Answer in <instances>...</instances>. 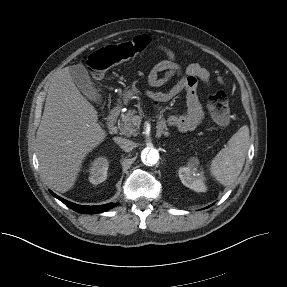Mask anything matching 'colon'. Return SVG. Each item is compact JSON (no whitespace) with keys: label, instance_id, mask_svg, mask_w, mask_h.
<instances>
[{"label":"colon","instance_id":"1","mask_svg":"<svg viewBox=\"0 0 287 287\" xmlns=\"http://www.w3.org/2000/svg\"><path fill=\"white\" fill-rule=\"evenodd\" d=\"M147 36H136L130 41L106 45L88 58V68L95 79H100L110 67L129 60L142 53L149 45ZM208 108L213 120L219 125H227L230 120V108L224 91L214 92L208 100Z\"/></svg>","mask_w":287,"mask_h":287}]
</instances>
